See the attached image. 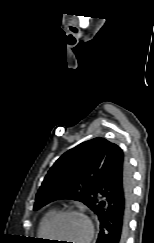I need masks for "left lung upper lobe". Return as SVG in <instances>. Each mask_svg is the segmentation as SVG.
Instances as JSON below:
<instances>
[{
  "instance_id": "5c2ea615",
  "label": "left lung upper lobe",
  "mask_w": 154,
  "mask_h": 243,
  "mask_svg": "<svg viewBox=\"0 0 154 243\" xmlns=\"http://www.w3.org/2000/svg\"><path fill=\"white\" fill-rule=\"evenodd\" d=\"M112 147L118 146L98 137L64 153L42 182L34 210L58 199L77 200L93 210L97 197L95 183Z\"/></svg>"
}]
</instances>
